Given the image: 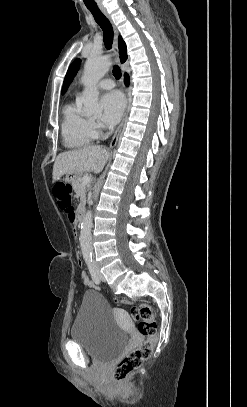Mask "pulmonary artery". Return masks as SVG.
<instances>
[{"mask_svg": "<svg viewBox=\"0 0 247 407\" xmlns=\"http://www.w3.org/2000/svg\"><path fill=\"white\" fill-rule=\"evenodd\" d=\"M97 86H98L100 89H105V90H107V89H112L113 87H115V83H114V81H113L112 79H110V78H105V79L101 80V81L97 84Z\"/></svg>", "mask_w": 247, "mask_h": 407, "instance_id": "pulmonary-artery-1", "label": "pulmonary artery"}]
</instances>
